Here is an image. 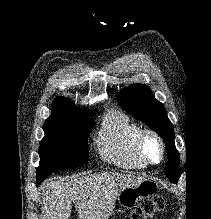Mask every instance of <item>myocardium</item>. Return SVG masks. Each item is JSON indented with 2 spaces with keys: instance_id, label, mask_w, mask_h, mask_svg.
Instances as JSON below:
<instances>
[{
  "instance_id": "myocardium-1",
  "label": "myocardium",
  "mask_w": 211,
  "mask_h": 219,
  "mask_svg": "<svg viewBox=\"0 0 211 219\" xmlns=\"http://www.w3.org/2000/svg\"><path fill=\"white\" fill-rule=\"evenodd\" d=\"M148 139H152L159 146V157L157 160H152L151 158L147 156L145 152L144 145ZM136 151L138 155L140 156V158L147 165H158L163 161L165 157V151H166L165 143L162 137L156 131H154L153 129L144 128V129H141L137 135Z\"/></svg>"
}]
</instances>
